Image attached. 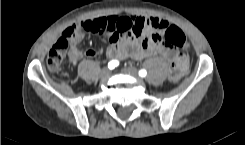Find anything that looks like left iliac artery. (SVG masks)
I'll use <instances>...</instances> for the list:
<instances>
[{"mask_svg":"<svg viewBox=\"0 0 245 145\" xmlns=\"http://www.w3.org/2000/svg\"><path fill=\"white\" fill-rule=\"evenodd\" d=\"M146 75H147V71H146L145 69H141V70L139 71V76L145 77Z\"/></svg>","mask_w":245,"mask_h":145,"instance_id":"left-iliac-artery-1","label":"left iliac artery"}]
</instances>
